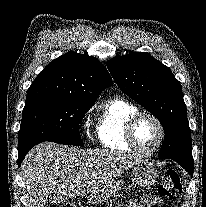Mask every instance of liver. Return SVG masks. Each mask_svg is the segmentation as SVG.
I'll return each instance as SVG.
<instances>
[{
    "label": "liver",
    "instance_id": "liver-1",
    "mask_svg": "<svg viewBox=\"0 0 206 207\" xmlns=\"http://www.w3.org/2000/svg\"><path fill=\"white\" fill-rule=\"evenodd\" d=\"M139 160L133 155L107 150H84L53 142L32 148L21 165L29 194V207H44L88 195L92 204L108 197L111 182Z\"/></svg>",
    "mask_w": 206,
    "mask_h": 207
}]
</instances>
